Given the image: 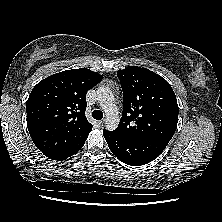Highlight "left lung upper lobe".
Returning a JSON list of instances; mask_svg holds the SVG:
<instances>
[{"mask_svg": "<svg viewBox=\"0 0 222 222\" xmlns=\"http://www.w3.org/2000/svg\"><path fill=\"white\" fill-rule=\"evenodd\" d=\"M117 75L123 90V112L114 132L130 138L170 141L179 113L170 84L141 67H127Z\"/></svg>", "mask_w": 222, "mask_h": 222, "instance_id": "5c2ea615", "label": "left lung upper lobe"}]
</instances>
